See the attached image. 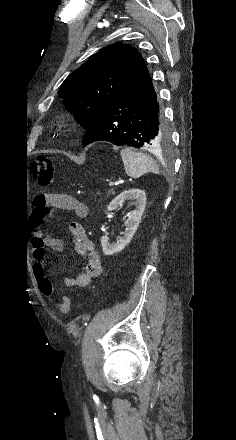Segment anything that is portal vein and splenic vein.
Listing matches in <instances>:
<instances>
[{
    "instance_id": "18ae733b",
    "label": "portal vein and splenic vein",
    "mask_w": 236,
    "mask_h": 440,
    "mask_svg": "<svg viewBox=\"0 0 236 440\" xmlns=\"http://www.w3.org/2000/svg\"><path fill=\"white\" fill-rule=\"evenodd\" d=\"M114 184H115V182L111 181V182L109 183V186L112 187V186H114Z\"/></svg>"
}]
</instances>
